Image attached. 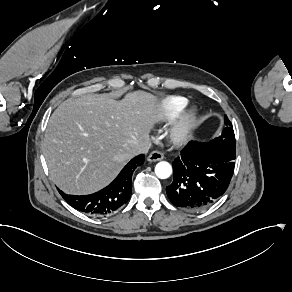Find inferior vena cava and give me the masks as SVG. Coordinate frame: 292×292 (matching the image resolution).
<instances>
[{
  "instance_id": "1",
  "label": "inferior vena cava",
  "mask_w": 292,
  "mask_h": 292,
  "mask_svg": "<svg viewBox=\"0 0 292 292\" xmlns=\"http://www.w3.org/2000/svg\"><path fill=\"white\" fill-rule=\"evenodd\" d=\"M151 147H152L151 141L147 140V142H145L142 146L134 149L132 151V154H133V156L139 155V154H146Z\"/></svg>"
}]
</instances>
